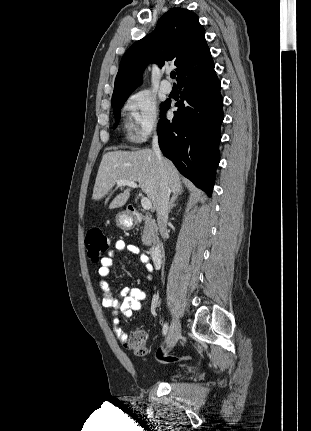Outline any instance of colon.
<instances>
[{
    "label": "colon",
    "instance_id": "5ec220e1",
    "mask_svg": "<svg viewBox=\"0 0 311 431\" xmlns=\"http://www.w3.org/2000/svg\"><path fill=\"white\" fill-rule=\"evenodd\" d=\"M86 249L88 257L93 262H99L103 255L109 249L108 237L99 229L90 230L86 236ZM147 334L143 329H137L130 333L124 341V346L136 355H145L147 353ZM157 357L160 361L173 362L177 360L187 359L188 357L164 356L159 350Z\"/></svg>",
    "mask_w": 311,
    "mask_h": 431
}]
</instances>
